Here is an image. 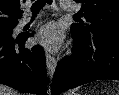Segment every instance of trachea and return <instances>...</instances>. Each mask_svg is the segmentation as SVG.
<instances>
[{
    "instance_id": "3493384b",
    "label": "trachea",
    "mask_w": 119,
    "mask_h": 95,
    "mask_svg": "<svg viewBox=\"0 0 119 95\" xmlns=\"http://www.w3.org/2000/svg\"><path fill=\"white\" fill-rule=\"evenodd\" d=\"M46 3L51 4L52 0H37L31 7L32 14L36 15L45 6Z\"/></svg>"
}]
</instances>
